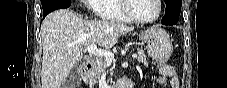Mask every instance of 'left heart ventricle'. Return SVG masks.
Listing matches in <instances>:
<instances>
[{
    "label": "left heart ventricle",
    "mask_w": 227,
    "mask_h": 88,
    "mask_svg": "<svg viewBox=\"0 0 227 88\" xmlns=\"http://www.w3.org/2000/svg\"><path fill=\"white\" fill-rule=\"evenodd\" d=\"M130 10L138 19H151L158 12L155 0H133L130 3Z\"/></svg>",
    "instance_id": "b2bd125f"
}]
</instances>
